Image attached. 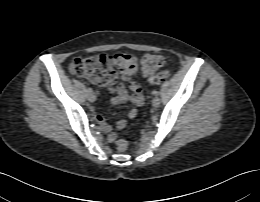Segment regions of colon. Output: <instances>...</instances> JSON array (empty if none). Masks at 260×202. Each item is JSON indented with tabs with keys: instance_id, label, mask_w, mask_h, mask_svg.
Wrapping results in <instances>:
<instances>
[{
	"instance_id": "1",
	"label": "colon",
	"mask_w": 260,
	"mask_h": 202,
	"mask_svg": "<svg viewBox=\"0 0 260 202\" xmlns=\"http://www.w3.org/2000/svg\"><path fill=\"white\" fill-rule=\"evenodd\" d=\"M164 63V57L156 53H147L140 58L128 52L103 53L75 58L71 61L69 69L72 74L101 85L111 84L119 75L124 81L129 82L132 77L140 73L146 75L150 83L159 84L169 77L167 71L158 72ZM127 147V142L124 140L116 142L119 152H125Z\"/></svg>"
}]
</instances>
